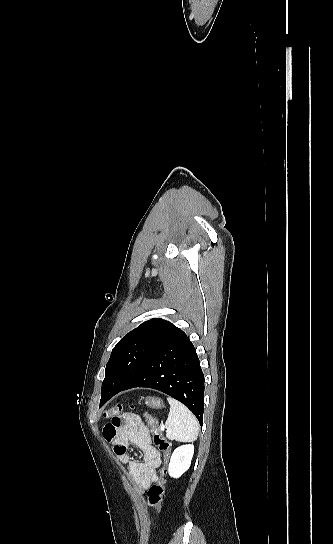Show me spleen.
<instances>
[{
	"label": "spleen",
	"mask_w": 333,
	"mask_h": 544,
	"mask_svg": "<svg viewBox=\"0 0 333 544\" xmlns=\"http://www.w3.org/2000/svg\"><path fill=\"white\" fill-rule=\"evenodd\" d=\"M170 411L165 422L166 437L170 440L191 442L198 437V421L192 412L174 398H167Z\"/></svg>",
	"instance_id": "spleen-1"
}]
</instances>
